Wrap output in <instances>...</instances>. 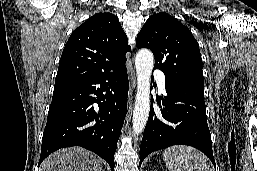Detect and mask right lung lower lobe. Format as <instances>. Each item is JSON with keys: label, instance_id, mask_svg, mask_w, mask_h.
Here are the masks:
<instances>
[{"label": "right lung lower lobe", "instance_id": "right-lung-lower-lobe-1", "mask_svg": "<svg viewBox=\"0 0 257 171\" xmlns=\"http://www.w3.org/2000/svg\"><path fill=\"white\" fill-rule=\"evenodd\" d=\"M127 96L125 64L83 80L55 84L38 166L60 148L81 146L105 159L113 171Z\"/></svg>", "mask_w": 257, "mask_h": 171}]
</instances>
